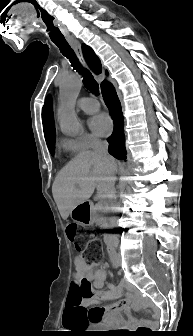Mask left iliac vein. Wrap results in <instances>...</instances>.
I'll return each instance as SVG.
<instances>
[{"instance_id": "1", "label": "left iliac vein", "mask_w": 193, "mask_h": 336, "mask_svg": "<svg viewBox=\"0 0 193 336\" xmlns=\"http://www.w3.org/2000/svg\"><path fill=\"white\" fill-rule=\"evenodd\" d=\"M117 262H118V264H120V258L118 259V261H117Z\"/></svg>"}]
</instances>
